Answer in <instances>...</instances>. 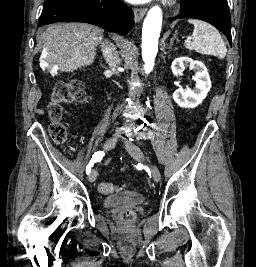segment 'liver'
<instances>
[{
    "mask_svg": "<svg viewBox=\"0 0 256 267\" xmlns=\"http://www.w3.org/2000/svg\"><path fill=\"white\" fill-rule=\"evenodd\" d=\"M40 62L47 72L58 66L59 72H74L91 66L103 40V30L91 24H53L43 32Z\"/></svg>",
    "mask_w": 256,
    "mask_h": 267,
    "instance_id": "6515ba94",
    "label": "liver"
}]
</instances>
